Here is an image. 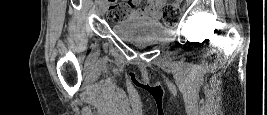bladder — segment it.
Segmentation results:
<instances>
[{
	"label": "bladder",
	"mask_w": 267,
	"mask_h": 115,
	"mask_svg": "<svg viewBox=\"0 0 267 115\" xmlns=\"http://www.w3.org/2000/svg\"><path fill=\"white\" fill-rule=\"evenodd\" d=\"M112 30L120 39L132 43L159 41L169 35L167 28L146 16H130L124 22L114 24Z\"/></svg>",
	"instance_id": "bladder-1"
}]
</instances>
